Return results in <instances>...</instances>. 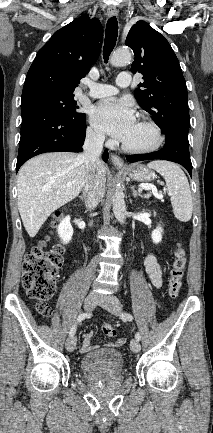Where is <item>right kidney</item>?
Here are the masks:
<instances>
[{
	"mask_svg": "<svg viewBox=\"0 0 213 433\" xmlns=\"http://www.w3.org/2000/svg\"><path fill=\"white\" fill-rule=\"evenodd\" d=\"M58 235L64 244L70 242L73 236V228L70 224V216H66L58 226Z\"/></svg>",
	"mask_w": 213,
	"mask_h": 433,
	"instance_id": "obj_1",
	"label": "right kidney"
}]
</instances>
